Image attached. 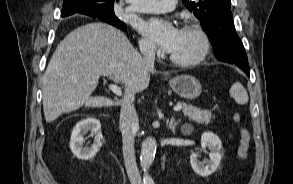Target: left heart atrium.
<instances>
[{"mask_svg": "<svg viewBox=\"0 0 293 184\" xmlns=\"http://www.w3.org/2000/svg\"><path fill=\"white\" fill-rule=\"evenodd\" d=\"M141 29L165 51L170 53L175 49L181 37L180 29L171 22L162 19H151L144 22Z\"/></svg>", "mask_w": 293, "mask_h": 184, "instance_id": "1", "label": "left heart atrium"}]
</instances>
